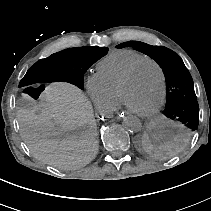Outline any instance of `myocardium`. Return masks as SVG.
<instances>
[{"mask_svg":"<svg viewBox=\"0 0 211 211\" xmlns=\"http://www.w3.org/2000/svg\"><path fill=\"white\" fill-rule=\"evenodd\" d=\"M146 63L153 64L159 72V75H160V97H159L157 104L151 110H149L147 112H138V111L130 110L125 105L124 100H123V92H124L126 85L129 83V81L132 79V77ZM165 87H166V77H165V73H164L162 66L155 59L147 57V58L143 59L141 62H139L138 64H136L134 67H132L122 77V79L119 81L117 88H116V96H117L118 100L123 105L126 106V108L129 110L130 113H132L138 117L148 118V117H152L153 115H155L162 107L163 102H164V96H165Z\"/></svg>","mask_w":211,"mask_h":211,"instance_id":"obj_1","label":"myocardium"}]
</instances>
